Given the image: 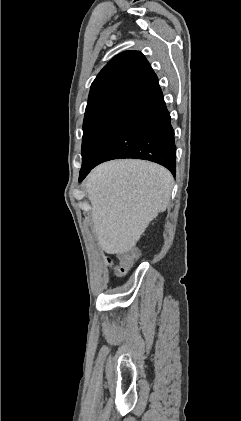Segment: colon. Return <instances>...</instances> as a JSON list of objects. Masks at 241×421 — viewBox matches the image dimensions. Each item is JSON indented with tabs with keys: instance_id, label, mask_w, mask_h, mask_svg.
Returning <instances> with one entry per match:
<instances>
[{
	"instance_id": "colon-1",
	"label": "colon",
	"mask_w": 241,
	"mask_h": 421,
	"mask_svg": "<svg viewBox=\"0 0 241 421\" xmlns=\"http://www.w3.org/2000/svg\"><path fill=\"white\" fill-rule=\"evenodd\" d=\"M140 0H133V2H138ZM136 258V251L133 249H128L120 252L116 261L108 259V263L113 266L115 275L122 276L127 273V271L132 266Z\"/></svg>"
}]
</instances>
